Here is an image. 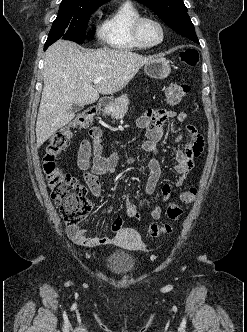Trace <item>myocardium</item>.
Listing matches in <instances>:
<instances>
[{
    "instance_id": "1",
    "label": "myocardium",
    "mask_w": 247,
    "mask_h": 332,
    "mask_svg": "<svg viewBox=\"0 0 247 332\" xmlns=\"http://www.w3.org/2000/svg\"><path fill=\"white\" fill-rule=\"evenodd\" d=\"M153 21L160 29V32H161V37H160V40L156 43H153V44H148L146 43L142 36H141V26L142 24L145 22V21ZM132 33H133V37L134 39L137 41L138 44H140L143 48H153V47H156L158 45H160L164 38H165V30H164V26L163 24L155 17L153 16H145V15H142L140 16L139 18H137L135 20V22L133 23V27H132Z\"/></svg>"
}]
</instances>
